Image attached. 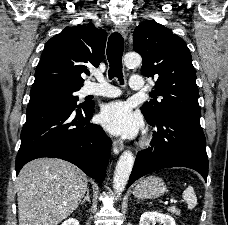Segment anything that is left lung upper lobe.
I'll return each mask as SVG.
<instances>
[{"instance_id": "5c2ea615", "label": "left lung upper lobe", "mask_w": 228, "mask_h": 225, "mask_svg": "<svg viewBox=\"0 0 228 225\" xmlns=\"http://www.w3.org/2000/svg\"><path fill=\"white\" fill-rule=\"evenodd\" d=\"M133 48L142 56L141 72L157 78L151 94L163 97L143 104L146 120L155 121L167 112L200 116L196 73L185 41L163 25L146 20L134 30Z\"/></svg>"}]
</instances>
